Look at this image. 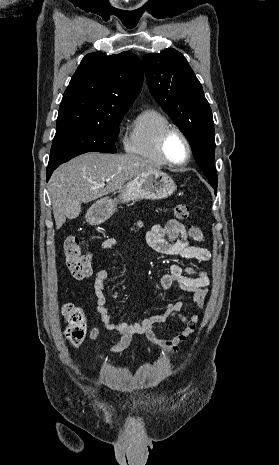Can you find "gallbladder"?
Returning a JSON list of instances; mask_svg holds the SVG:
<instances>
[{
  "label": "gallbladder",
  "mask_w": 279,
  "mask_h": 465,
  "mask_svg": "<svg viewBox=\"0 0 279 465\" xmlns=\"http://www.w3.org/2000/svg\"><path fill=\"white\" fill-rule=\"evenodd\" d=\"M66 216L69 219H75L80 213V204L78 201L68 202L65 205Z\"/></svg>",
  "instance_id": "bac80fb5"
}]
</instances>
